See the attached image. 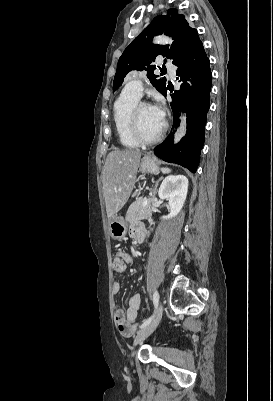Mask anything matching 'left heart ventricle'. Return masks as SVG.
<instances>
[{
    "label": "left heart ventricle",
    "mask_w": 273,
    "mask_h": 401,
    "mask_svg": "<svg viewBox=\"0 0 273 401\" xmlns=\"http://www.w3.org/2000/svg\"><path fill=\"white\" fill-rule=\"evenodd\" d=\"M137 119L140 131L146 137L155 136L163 127V125L155 118L148 106H142L139 109Z\"/></svg>",
    "instance_id": "obj_1"
}]
</instances>
